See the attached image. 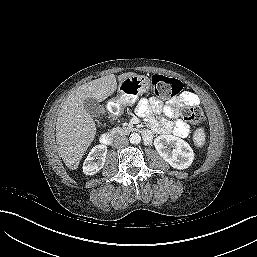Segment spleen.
<instances>
[{
  "label": "spleen",
  "instance_id": "obj_1",
  "mask_svg": "<svg viewBox=\"0 0 257 257\" xmlns=\"http://www.w3.org/2000/svg\"><path fill=\"white\" fill-rule=\"evenodd\" d=\"M193 140L194 143L198 146L201 147L205 141V133L204 130L202 128H199L195 131L194 135H193Z\"/></svg>",
  "mask_w": 257,
  "mask_h": 257
}]
</instances>
